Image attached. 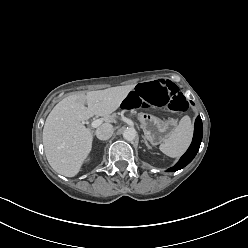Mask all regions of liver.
<instances>
[{"instance_id": "liver-1", "label": "liver", "mask_w": 248, "mask_h": 248, "mask_svg": "<svg viewBox=\"0 0 248 248\" xmlns=\"http://www.w3.org/2000/svg\"><path fill=\"white\" fill-rule=\"evenodd\" d=\"M134 85L104 90L80 91L62 99L48 115L43 128V145L50 166L59 174L74 177L91 152L93 133L83 122L101 116L106 123ZM87 104V107L85 106Z\"/></svg>"}]
</instances>
